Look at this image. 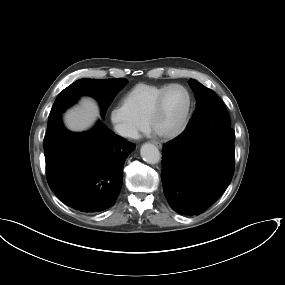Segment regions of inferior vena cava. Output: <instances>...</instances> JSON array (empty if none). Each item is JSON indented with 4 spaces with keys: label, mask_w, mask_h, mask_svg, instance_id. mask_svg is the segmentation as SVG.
Returning <instances> with one entry per match:
<instances>
[{
    "label": "inferior vena cava",
    "mask_w": 285,
    "mask_h": 285,
    "mask_svg": "<svg viewBox=\"0 0 285 285\" xmlns=\"http://www.w3.org/2000/svg\"><path fill=\"white\" fill-rule=\"evenodd\" d=\"M116 130L118 134L123 137L137 138L139 136V133L136 128L127 124H119Z\"/></svg>",
    "instance_id": "602c4592"
}]
</instances>
